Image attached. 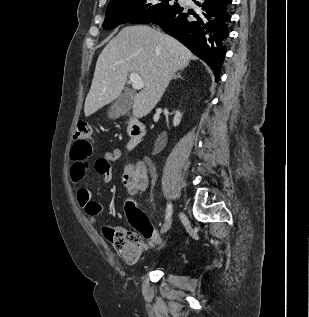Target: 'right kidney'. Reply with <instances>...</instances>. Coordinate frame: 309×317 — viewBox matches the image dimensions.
I'll return each instance as SVG.
<instances>
[{
	"label": "right kidney",
	"instance_id": "ca27d5eb",
	"mask_svg": "<svg viewBox=\"0 0 309 317\" xmlns=\"http://www.w3.org/2000/svg\"><path fill=\"white\" fill-rule=\"evenodd\" d=\"M182 114L179 111H175V115L173 118V125L176 127L180 124Z\"/></svg>",
	"mask_w": 309,
	"mask_h": 317
}]
</instances>
